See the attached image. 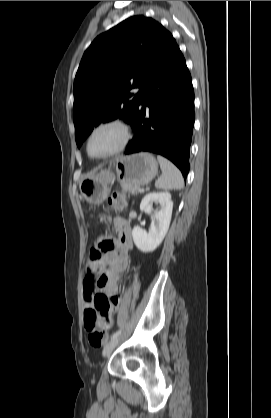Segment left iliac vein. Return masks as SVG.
<instances>
[{"label": "left iliac vein", "mask_w": 271, "mask_h": 418, "mask_svg": "<svg viewBox=\"0 0 271 418\" xmlns=\"http://www.w3.org/2000/svg\"><path fill=\"white\" fill-rule=\"evenodd\" d=\"M119 343V337L112 339L110 342H108L103 349V355L108 356L111 354V352L115 349V347Z\"/></svg>", "instance_id": "1"}]
</instances>
